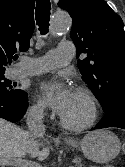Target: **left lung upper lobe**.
I'll return each mask as SVG.
<instances>
[{"label": "left lung upper lobe", "instance_id": "obj_1", "mask_svg": "<svg viewBox=\"0 0 125 167\" xmlns=\"http://www.w3.org/2000/svg\"><path fill=\"white\" fill-rule=\"evenodd\" d=\"M73 24L70 37L77 49L78 68L94 90L103 110L125 102V31L123 21L104 0H59Z\"/></svg>", "mask_w": 125, "mask_h": 167}]
</instances>
